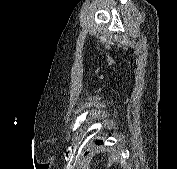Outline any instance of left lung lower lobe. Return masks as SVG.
Returning a JSON list of instances; mask_svg holds the SVG:
<instances>
[{
  "mask_svg": "<svg viewBox=\"0 0 177 169\" xmlns=\"http://www.w3.org/2000/svg\"><path fill=\"white\" fill-rule=\"evenodd\" d=\"M96 144H98V145H99V144H102V142L97 141V142H96Z\"/></svg>",
  "mask_w": 177,
  "mask_h": 169,
  "instance_id": "obj_1",
  "label": "left lung lower lobe"
}]
</instances>
